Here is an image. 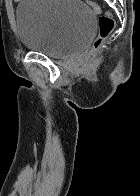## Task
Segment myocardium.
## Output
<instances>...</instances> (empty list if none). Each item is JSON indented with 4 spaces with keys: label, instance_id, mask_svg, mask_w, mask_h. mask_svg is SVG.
<instances>
[{
    "label": "myocardium",
    "instance_id": "f54148a6",
    "mask_svg": "<svg viewBox=\"0 0 140 196\" xmlns=\"http://www.w3.org/2000/svg\"><path fill=\"white\" fill-rule=\"evenodd\" d=\"M37 192H44V191H37ZM54 192H62V191H54Z\"/></svg>",
    "mask_w": 140,
    "mask_h": 196
}]
</instances>
